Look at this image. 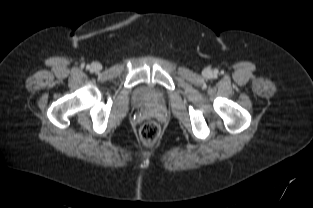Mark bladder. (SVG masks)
<instances>
[{
	"mask_svg": "<svg viewBox=\"0 0 313 208\" xmlns=\"http://www.w3.org/2000/svg\"><path fill=\"white\" fill-rule=\"evenodd\" d=\"M160 96V93L154 87L141 85L134 93V101L138 104H146L158 101Z\"/></svg>",
	"mask_w": 313,
	"mask_h": 208,
	"instance_id": "31cf9c89",
	"label": "bladder"
}]
</instances>
